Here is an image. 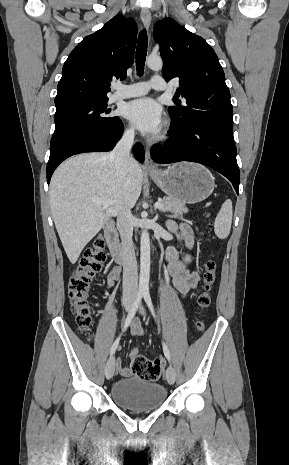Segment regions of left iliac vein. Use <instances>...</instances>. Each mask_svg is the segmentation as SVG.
I'll return each instance as SVG.
<instances>
[{"instance_id":"obj_1","label":"left iliac vein","mask_w":289,"mask_h":465,"mask_svg":"<svg viewBox=\"0 0 289 465\" xmlns=\"http://www.w3.org/2000/svg\"><path fill=\"white\" fill-rule=\"evenodd\" d=\"M140 313L144 314V308L140 306ZM166 379L169 384H174L176 379V373L172 365H169L166 370Z\"/></svg>"}]
</instances>
